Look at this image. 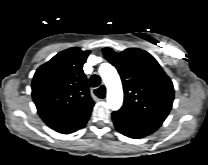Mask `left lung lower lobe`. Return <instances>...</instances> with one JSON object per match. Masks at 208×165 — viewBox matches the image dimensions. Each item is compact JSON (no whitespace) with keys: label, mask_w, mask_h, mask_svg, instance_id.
Wrapping results in <instances>:
<instances>
[{"label":"left lung lower lobe","mask_w":208,"mask_h":165,"mask_svg":"<svg viewBox=\"0 0 208 165\" xmlns=\"http://www.w3.org/2000/svg\"><path fill=\"white\" fill-rule=\"evenodd\" d=\"M112 119L120 133L135 139L148 136L161 126V123L136 119L118 111L112 113Z\"/></svg>","instance_id":"0a47b994"}]
</instances>
